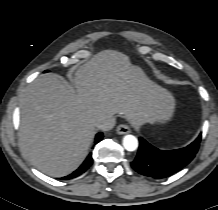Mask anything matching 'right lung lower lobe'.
I'll list each match as a JSON object with an SVG mask.
<instances>
[{
	"instance_id": "1",
	"label": "right lung lower lobe",
	"mask_w": 218,
	"mask_h": 210,
	"mask_svg": "<svg viewBox=\"0 0 218 210\" xmlns=\"http://www.w3.org/2000/svg\"><path fill=\"white\" fill-rule=\"evenodd\" d=\"M102 138H103V133L99 132L95 137V144L98 143ZM91 155L92 154L90 153L88 155V157L85 159V161L83 162V164L76 171H74L72 174L65 176L64 179L68 180V179L75 178V177L83 174L93 163V159H92Z\"/></svg>"
}]
</instances>
